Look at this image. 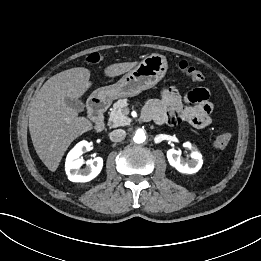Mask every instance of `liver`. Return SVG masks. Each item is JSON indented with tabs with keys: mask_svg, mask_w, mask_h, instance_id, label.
Listing matches in <instances>:
<instances>
[{
	"mask_svg": "<svg viewBox=\"0 0 261 261\" xmlns=\"http://www.w3.org/2000/svg\"><path fill=\"white\" fill-rule=\"evenodd\" d=\"M138 62L109 65L104 69L108 77H115L133 69ZM90 71L84 67L71 68L49 78L34 95L29 106V131L35 151L52 172L77 137L90 131L93 124L86 117L68 107L65 98L78 99L92 85Z\"/></svg>",
	"mask_w": 261,
	"mask_h": 261,
	"instance_id": "obj_1",
	"label": "liver"
}]
</instances>
